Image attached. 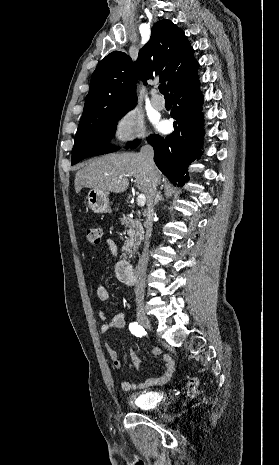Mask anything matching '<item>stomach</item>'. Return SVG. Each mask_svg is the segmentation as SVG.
<instances>
[{"instance_id": "0dacf381", "label": "stomach", "mask_w": 279, "mask_h": 465, "mask_svg": "<svg viewBox=\"0 0 279 465\" xmlns=\"http://www.w3.org/2000/svg\"><path fill=\"white\" fill-rule=\"evenodd\" d=\"M88 206L94 213L111 212L110 202L107 193L91 189L87 195Z\"/></svg>"}]
</instances>
